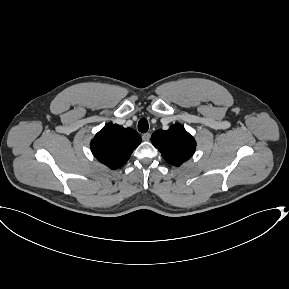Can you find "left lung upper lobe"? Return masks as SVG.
<instances>
[{
  "mask_svg": "<svg viewBox=\"0 0 289 289\" xmlns=\"http://www.w3.org/2000/svg\"><path fill=\"white\" fill-rule=\"evenodd\" d=\"M153 145L163 158L174 166H180L194 153L196 142L182 125H172L168 130H157L151 136Z\"/></svg>",
  "mask_w": 289,
  "mask_h": 289,
  "instance_id": "left-lung-upper-lobe-1",
  "label": "left lung upper lobe"
}]
</instances>
